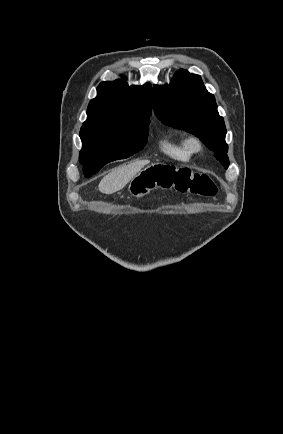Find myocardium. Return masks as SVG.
<instances>
[{
  "instance_id": "1",
  "label": "myocardium",
  "mask_w": 283,
  "mask_h": 434,
  "mask_svg": "<svg viewBox=\"0 0 283 434\" xmlns=\"http://www.w3.org/2000/svg\"><path fill=\"white\" fill-rule=\"evenodd\" d=\"M185 144L190 153H199L203 150V142L196 135H190L185 139Z\"/></svg>"
}]
</instances>
